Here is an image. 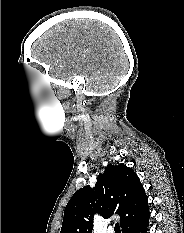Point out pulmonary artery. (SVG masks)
<instances>
[{"label": "pulmonary artery", "instance_id": "e3ab8cb5", "mask_svg": "<svg viewBox=\"0 0 184 233\" xmlns=\"http://www.w3.org/2000/svg\"><path fill=\"white\" fill-rule=\"evenodd\" d=\"M108 233H113V229H109Z\"/></svg>", "mask_w": 184, "mask_h": 233}]
</instances>
